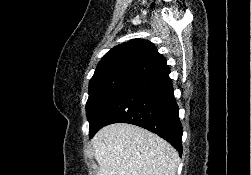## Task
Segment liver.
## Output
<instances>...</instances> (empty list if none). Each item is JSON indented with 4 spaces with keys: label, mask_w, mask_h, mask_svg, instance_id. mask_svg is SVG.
<instances>
[{
    "label": "liver",
    "mask_w": 251,
    "mask_h": 175,
    "mask_svg": "<svg viewBox=\"0 0 251 175\" xmlns=\"http://www.w3.org/2000/svg\"><path fill=\"white\" fill-rule=\"evenodd\" d=\"M97 175H176L178 151L138 125L111 123L94 135Z\"/></svg>",
    "instance_id": "liver-1"
}]
</instances>
